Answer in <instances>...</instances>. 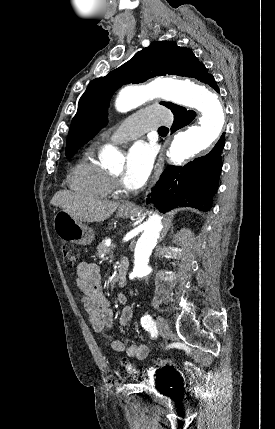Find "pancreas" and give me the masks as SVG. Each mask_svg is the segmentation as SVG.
<instances>
[{
    "mask_svg": "<svg viewBox=\"0 0 275 429\" xmlns=\"http://www.w3.org/2000/svg\"><path fill=\"white\" fill-rule=\"evenodd\" d=\"M112 248H113V245H111L110 247H107L105 245V241H102L101 243H99V245L97 247L96 255L99 257H101L102 255H108L111 253Z\"/></svg>",
    "mask_w": 275,
    "mask_h": 429,
    "instance_id": "cf45deb5",
    "label": "pancreas"
}]
</instances>
